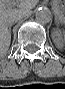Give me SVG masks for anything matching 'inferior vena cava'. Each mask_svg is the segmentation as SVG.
<instances>
[{"instance_id":"602c4592","label":"inferior vena cava","mask_w":65,"mask_h":89,"mask_svg":"<svg viewBox=\"0 0 65 89\" xmlns=\"http://www.w3.org/2000/svg\"><path fill=\"white\" fill-rule=\"evenodd\" d=\"M24 17V14H20V15H18V16H15L12 20H11V24H13L14 22H17V21H19L21 18H23Z\"/></svg>"}]
</instances>
